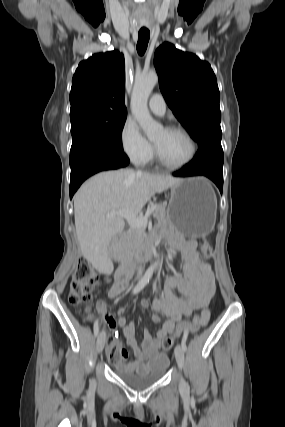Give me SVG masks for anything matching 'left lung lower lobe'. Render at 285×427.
Here are the masks:
<instances>
[{"instance_id":"0a47b994","label":"left lung lower lobe","mask_w":285,"mask_h":427,"mask_svg":"<svg viewBox=\"0 0 285 427\" xmlns=\"http://www.w3.org/2000/svg\"><path fill=\"white\" fill-rule=\"evenodd\" d=\"M204 175L223 188V150L222 147H207L197 152L196 157L185 168L173 173L176 177Z\"/></svg>"}]
</instances>
